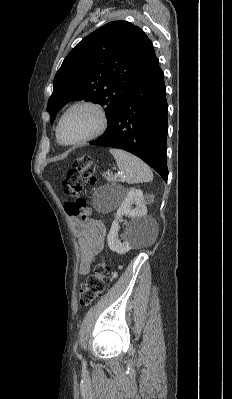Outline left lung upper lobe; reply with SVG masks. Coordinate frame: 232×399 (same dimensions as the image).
I'll return each mask as SVG.
<instances>
[{"label":"left lung upper lobe","mask_w":232,"mask_h":399,"mask_svg":"<svg viewBox=\"0 0 232 399\" xmlns=\"http://www.w3.org/2000/svg\"><path fill=\"white\" fill-rule=\"evenodd\" d=\"M151 44L127 21L109 22L82 39L55 75L47 105L51 124L66 103L84 99L105 106L109 130Z\"/></svg>","instance_id":"5c2ea615"}]
</instances>
